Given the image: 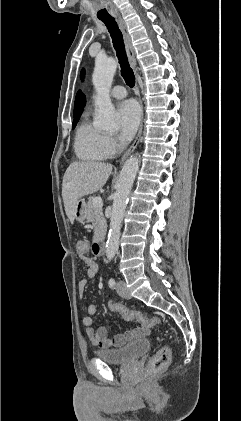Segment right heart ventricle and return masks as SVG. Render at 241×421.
I'll return each instance as SVG.
<instances>
[{
	"label": "right heart ventricle",
	"instance_id": "right-heart-ventricle-1",
	"mask_svg": "<svg viewBox=\"0 0 241 421\" xmlns=\"http://www.w3.org/2000/svg\"><path fill=\"white\" fill-rule=\"evenodd\" d=\"M104 134L87 119L79 124L74 141L77 157L84 161H102L110 156L105 143Z\"/></svg>",
	"mask_w": 241,
	"mask_h": 421
}]
</instances>
